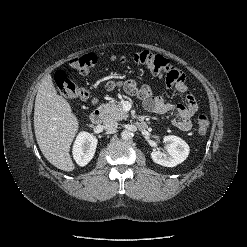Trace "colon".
Here are the masks:
<instances>
[{"label":"colon","instance_id":"obj_1","mask_svg":"<svg viewBox=\"0 0 247 247\" xmlns=\"http://www.w3.org/2000/svg\"><path fill=\"white\" fill-rule=\"evenodd\" d=\"M121 61L123 63L145 67L152 74L165 78L168 84H174L184 78L182 72L174 68L166 58L150 51L136 52L129 58H122ZM94 63L95 56L89 53L72 59L70 61V66L76 71L84 74L90 70ZM54 80L61 96L81 100L88 98V91L78 86L66 72L57 71ZM209 125V118L205 114L197 116L196 130L198 134L205 135L209 129Z\"/></svg>","mask_w":247,"mask_h":247}]
</instances>
